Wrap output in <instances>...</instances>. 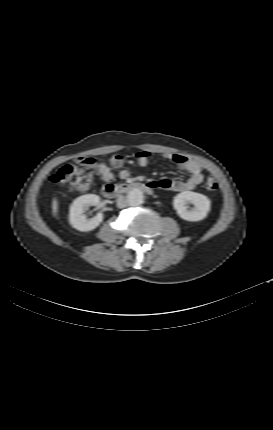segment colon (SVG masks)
Masks as SVG:
<instances>
[{"label":"colon","mask_w":273,"mask_h":430,"mask_svg":"<svg viewBox=\"0 0 273 430\" xmlns=\"http://www.w3.org/2000/svg\"><path fill=\"white\" fill-rule=\"evenodd\" d=\"M91 171L85 157H80L73 165H64L58 168L51 176V181L59 186H66L75 192H85L91 183ZM205 187L213 192L218 188V183L214 177L207 178Z\"/></svg>","instance_id":"1"}]
</instances>
